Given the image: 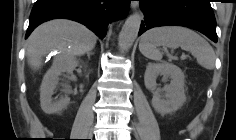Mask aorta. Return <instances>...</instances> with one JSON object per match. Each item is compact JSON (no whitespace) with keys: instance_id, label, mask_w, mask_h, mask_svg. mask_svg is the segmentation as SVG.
Returning a JSON list of instances; mask_svg holds the SVG:
<instances>
[{"instance_id":"obj_1","label":"aorta","mask_w":236,"mask_h":140,"mask_svg":"<svg viewBox=\"0 0 236 140\" xmlns=\"http://www.w3.org/2000/svg\"><path fill=\"white\" fill-rule=\"evenodd\" d=\"M143 16L141 13L130 15L119 34L118 44L122 52L128 51L138 36Z\"/></svg>"}]
</instances>
